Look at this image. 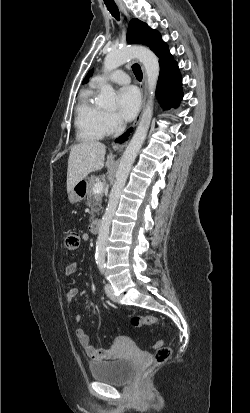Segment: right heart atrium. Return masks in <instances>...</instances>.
I'll return each instance as SVG.
<instances>
[{
	"mask_svg": "<svg viewBox=\"0 0 250 413\" xmlns=\"http://www.w3.org/2000/svg\"><path fill=\"white\" fill-rule=\"evenodd\" d=\"M102 128L104 135L113 134L123 128V122L116 112L104 111L102 116Z\"/></svg>",
	"mask_w": 250,
	"mask_h": 413,
	"instance_id": "1",
	"label": "right heart atrium"
}]
</instances>
